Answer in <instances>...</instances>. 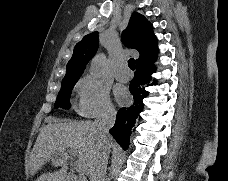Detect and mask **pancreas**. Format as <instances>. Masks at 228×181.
<instances>
[{"mask_svg": "<svg viewBox=\"0 0 228 181\" xmlns=\"http://www.w3.org/2000/svg\"><path fill=\"white\" fill-rule=\"evenodd\" d=\"M78 181H86V177H83V175H79Z\"/></svg>", "mask_w": 228, "mask_h": 181, "instance_id": "obj_1", "label": "pancreas"}]
</instances>
